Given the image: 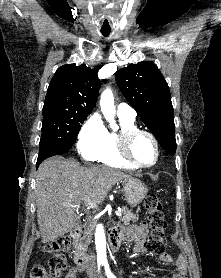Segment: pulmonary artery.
<instances>
[{"label":"pulmonary artery","mask_w":221,"mask_h":278,"mask_svg":"<svg viewBox=\"0 0 221 278\" xmlns=\"http://www.w3.org/2000/svg\"><path fill=\"white\" fill-rule=\"evenodd\" d=\"M117 115L121 118L134 120L136 117V111L126 103H120L117 107Z\"/></svg>","instance_id":"1"}]
</instances>
